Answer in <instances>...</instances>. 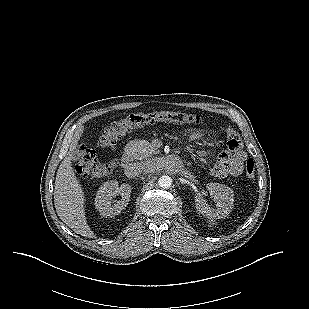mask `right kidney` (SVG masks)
Returning a JSON list of instances; mask_svg holds the SVG:
<instances>
[{
  "label": "right kidney",
  "mask_w": 309,
  "mask_h": 309,
  "mask_svg": "<svg viewBox=\"0 0 309 309\" xmlns=\"http://www.w3.org/2000/svg\"><path fill=\"white\" fill-rule=\"evenodd\" d=\"M131 186L129 184H122L118 186L116 180L105 182L98 190L95 198V207L103 217H113L118 215L130 201ZM121 195V200L115 204L111 200L116 195Z\"/></svg>",
  "instance_id": "right-kidney-1"
}]
</instances>
